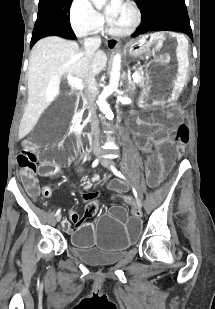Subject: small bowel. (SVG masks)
<instances>
[{
	"instance_id": "c3829d8e",
	"label": "small bowel",
	"mask_w": 215,
	"mask_h": 309,
	"mask_svg": "<svg viewBox=\"0 0 215 309\" xmlns=\"http://www.w3.org/2000/svg\"><path fill=\"white\" fill-rule=\"evenodd\" d=\"M28 191L30 196L32 197H36L39 194V189L36 186L35 182H33L32 184L28 185ZM133 209H137L136 207H134Z\"/></svg>"
}]
</instances>
